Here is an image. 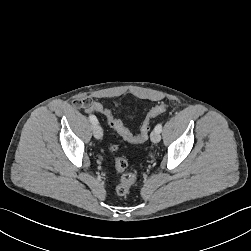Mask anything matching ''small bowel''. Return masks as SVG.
<instances>
[{"label":"small bowel","mask_w":251,"mask_h":251,"mask_svg":"<svg viewBox=\"0 0 251 251\" xmlns=\"http://www.w3.org/2000/svg\"><path fill=\"white\" fill-rule=\"evenodd\" d=\"M94 98L91 95H85L83 97H77L75 98L74 102H73V107L76 110H84L88 107H90L91 105H93L94 103Z\"/></svg>","instance_id":"c3829d8e"}]
</instances>
